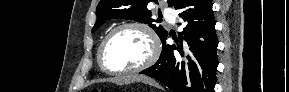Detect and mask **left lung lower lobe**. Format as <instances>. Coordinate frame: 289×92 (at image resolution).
Returning <instances> with one entry per match:
<instances>
[{"label": "left lung lower lobe", "mask_w": 289, "mask_h": 92, "mask_svg": "<svg viewBox=\"0 0 289 92\" xmlns=\"http://www.w3.org/2000/svg\"><path fill=\"white\" fill-rule=\"evenodd\" d=\"M184 21L176 45L162 41L157 63L141 71L174 92H214L217 46L215 19L211 0H177L173 6ZM181 25V23H179Z\"/></svg>", "instance_id": "obj_1"}]
</instances>
